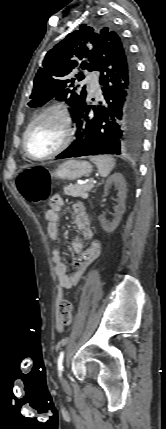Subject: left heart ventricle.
<instances>
[{"mask_svg":"<svg viewBox=\"0 0 166 429\" xmlns=\"http://www.w3.org/2000/svg\"><path fill=\"white\" fill-rule=\"evenodd\" d=\"M64 136L63 123L60 118L49 115L39 120L29 133L27 146L35 157L45 156L54 151Z\"/></svg>","mask_w":166,"mask_h":429,"instance_id":"obj_1","label":"left heart ventricle"}]
</instances>
